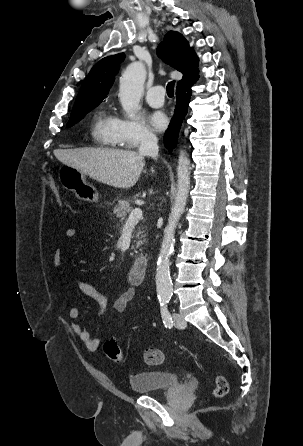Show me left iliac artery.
Listing matches in <instances>:
<instances>
[{
    "label": "left iliac artery",
    "mask_w": 303,
    "mask_h": 446,
    "mask_svg": "<svg viewBox=\"0 0 303 446\" xmlns=\"http://www.w3.org/2000/svg\"><path fill=\"white\" fill-rule=\"evenodd\" d=\"M168 302L169 300L167 299L160 300L161 316L165 327L171 328L173 326V320L168 310Z\"/></svg>",
    "instance_id": "1"
}]
</instances>
